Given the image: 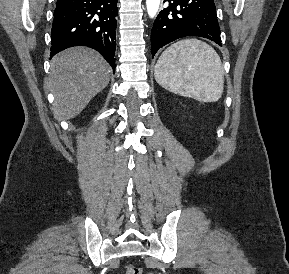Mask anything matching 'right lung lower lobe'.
Here are the masks:
<instances>
[{"instance_id":"1","label":"right lung lower lobe","mask_w":289,"mask_h":274,"mask_svg":"<svg viewBox=\"0 0 289 274\" xmlns=\"http://www.w3.org/2000/svg\"><path fill=\"white\" fill-rule=\"evenodd\" d=\"M117 0H57L51 56L72 46H88L115 70Z\"/></svg>"}]
</instances>
